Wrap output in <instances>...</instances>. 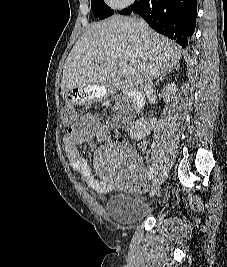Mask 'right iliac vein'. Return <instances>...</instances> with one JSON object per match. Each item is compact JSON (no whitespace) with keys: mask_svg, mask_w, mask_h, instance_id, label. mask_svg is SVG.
Masks as SVG:
<instances>
[{"mask_svg":"<svg viewBox=\"0 0 227 267\" xmlns=\"http://www.w3.org/2000/svg\"><path fill=\"white\" fill-rule=\"evenodd\" d=\"M159 186H160V182L159 181H155L151 187V190H150V197H153L159 190Z\"/></svg>","mask_w":227,"mask_h":267,"instance_id":"right-iliac-vein-1","label":"right iliac vein"}]
</instances>
